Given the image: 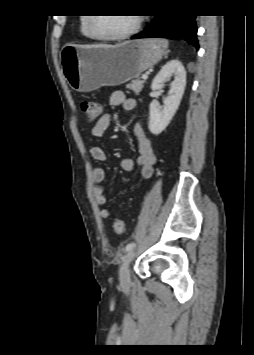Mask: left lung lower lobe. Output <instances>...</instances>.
<instances>
[{
    "instance_id": "1",
    "label": "left lung lower lobe",
    "mask_w": 254,
    "mask_h": 355,
    "mask_svg": "<svg viewBox=\"0 0 254 355\" xmlns=\"http://www.w3.org/2000/svg\"><path fill=\"white\" fill-rule=\"evenodd\" d=\"M196 15H156L147 28L132 39L140 38H181L197 49Z\"/></svg>"
}]
</instances>
